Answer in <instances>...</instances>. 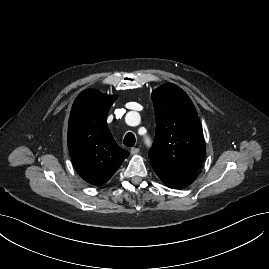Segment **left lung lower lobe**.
<instances>
[{
    "mask_svg": "<svg viewBox=\"0 0 269 269\" xmlns=\"http://www.w3.org/2000/svg\"><path fill=\"white\" fill-rule=\"evenodd\" d=\"M155 173L162 182L173 189H181L189 186L197 177L196 172L174 170L151 163Z\"/></svg>",
    "mask_w": 269,
    "mask_h": 269,
    "instance_id": "0a47b994",
    "label": "left lung lower lobe"
}]
</instances>
